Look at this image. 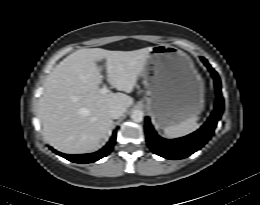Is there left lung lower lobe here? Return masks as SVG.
<instances>
[{"instance_id":"obj_1","label":"left lung lower lobe","mask_w":260,"mask_h":205,"mask_svg":"<svg viewBox=\"0 0 260 205\" xmlns=\"http://www.w3.org/2000/svg\"><path fill=\"white\" fill-rule=\"evenodd\" d=\"M201 60L207 66L214 78L217 94L214 111L207 122L199 130L188 136L167 140L156 134L150 123V119L146 118V137L148 146L153 153L166 159H183L199 150L211 138L217 122L221 118L224 109V100L221 94L220 79L217 72L208 64L207 60L203 57Z\"/></svg>"}]
</instances>
